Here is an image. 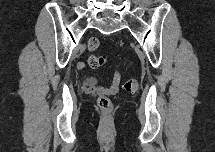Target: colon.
Masks as SVG:
<instances>
[{"label":"colon","mask_w":215,"mask_h":152,"mask_svg":"<svg viewBox=\"0 0 215 152\" xmlns=\"http://www.w3.org/2000/svg\"><path fill=\"white\" fill-rule=\"evenodd\" d=\"M98 47H99L98 39L91 38L88 41V49L90 51H95L98 49ZM104 63H105V57L104 56L91 55L88 58V64L91 68L101 67L102 65H104ZM123 87H124V90L126 92L135 93L138 90V83L135 79L130 78L124 82ZM98 105L104 111H108L112 108L111 100L106 96H101L98 98Z\"/></svg>","instance_id":"colon-1"}]
</instances>
